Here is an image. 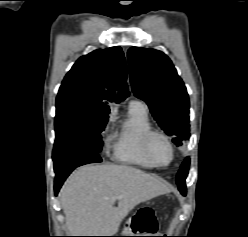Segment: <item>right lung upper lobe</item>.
I'll list each match as a JSON object with an SVG mask.
<instances>
[{
    "instance_id": "1",
    "label": "right lung upper lobe",
    "mask_w": 248,
    "mask_h": 237,
    "mask_svg": "<svg viewBox=\"0 0 248 237\" xmlns=\"http://www.w3.org/2000/svg\"><path fill=\"white\" fill-rule=\"evenodd\" d=\"M126 62L120 47L95 50L80 57L65 76L56 104L71 103L109 114L106 100L120 102L128 96Z\"/></svg>"
}]
</instances>
